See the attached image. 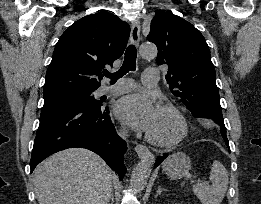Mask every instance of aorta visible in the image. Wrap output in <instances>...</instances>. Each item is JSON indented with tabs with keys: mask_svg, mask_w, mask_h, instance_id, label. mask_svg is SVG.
Wrapping results in <instances>:
<instances>
[{
	"mask_svg": "<svg viewBox=\"0 0 261 204\" xmlns=\"http://www.w3.org/2000/svg\"><path fill=\"white\" fill-rule=\"evenodd\" d=\"M139 52L143 58H154L157 56V48L153 44L141 45ZM150 173V162L142 160L137 164V166L134 168L132 172L130 179V185L135 192H141L145 188Z\"/></svg>",
	"mask_w": 261,
	"mask_h": 204,
	"instance_id": "1",
	"label": "aorta"
}]
</instances>
